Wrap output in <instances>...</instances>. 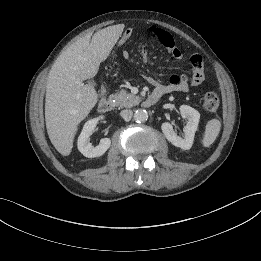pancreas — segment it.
<instances>
[{
    "label": "pancreas",
    "mask_w": 261,
    "mask_h": 261,
    "mask_svg": "<svg viewBox=\"0 0 261 261\" xmlns=\"http://www.w3.org/2000/svg\"><path fill=\"white\" fill-rule=\"evenodd\" d=\"M110 100H115V105L119 108H128L140 102V98L126 90H121L115 94L110 95Z\"/></svg>",
    "instance_id": "cf45deb5"
}]
</instances>
